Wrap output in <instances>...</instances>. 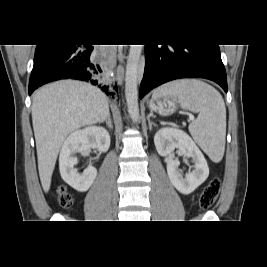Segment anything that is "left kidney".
<instances>
[{
	"label": "left kidney",
	"mask_w": 267,
	"mask_h": 267,
	"mask_svg": "<svg viewBox=\"0 0 267 267\" xmlns=\"http://www.w3.org/2000/svg\"><path fill=\"white\" fill-rule=\"evenodd\" d=\"M154 143L157 152L166 157L168 177L179 192L190 194L207 179L209 175L207 161L187 133L179 129L162 128L155 134ZM176 148L194 162L193 170L185 177L178 170L180 162L174 157ZM185 163L188 161L185 160Z\"/></svg>",
	"instance_id": "5707ae66"
}]
</instances>
